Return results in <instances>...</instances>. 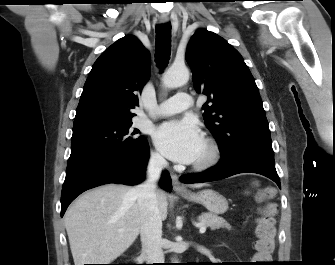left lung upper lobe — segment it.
Here are the masks:
<instances>
[{
  "label": "left lung upper lobe",
  "instance_id": "left-lung-upper-lobe-1",
  "mask_svg": "<svg viewBox=\"0 0 335 265\" xmlns=\"http://www.w3.org/2000/svg\"><path fill=\"white\" fill-rule=\"evenodd\" d=\"M186 60L196 91L208 96L203 118L221 156L244 149L274 156L262 100L241 54L217 34L198 30Z\"/></svg>",
  "mask_w": 335,
  "mask_h": 265
}]
</instances>
